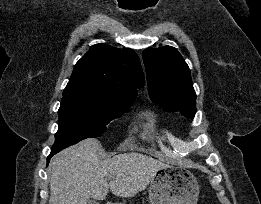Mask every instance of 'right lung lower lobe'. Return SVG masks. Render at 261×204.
<instances>
[{
    "label": "right lung lower lobe",
    "mask_w": 261,
    "mask_h": 204,
    "mask_svg": "<svg viewBox=\"0 0 261 204\" xmlns=\"http://www.w3.org/2000/svg\"><path fill=\"white\" fill-rule=\"evenodd\" d=\"M57 152H59L58 150H52L51 149V153H50V155L48 156V158H47V162L49 163V160H50V158L54 155V154H56Z\"/></svg>",
    "instance_id": "right-lung-lower-lobe-1"
}]
</instances>
